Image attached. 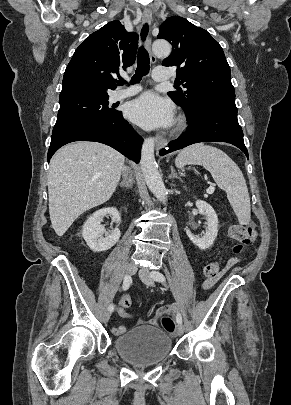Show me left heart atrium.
Listing matches in <instances>:
<instances>
[{
    "label": "left heart atrium",
    "mask_w": 291,
    "mask_h": 405,
    "mask_svg": "<svg viewBox=\"0 0 291 405\" xmlns=\"http://www.w3.org/2000/svg\"><path fill=\"white\" fill-rule=\"evenodd\" d=\"M126 112L131 121L147 130L170 126L174 119L171 102L153 92L130 102Z\"/></svg>",
    "instance_id": "39dd6f15"
}]
</instances>
